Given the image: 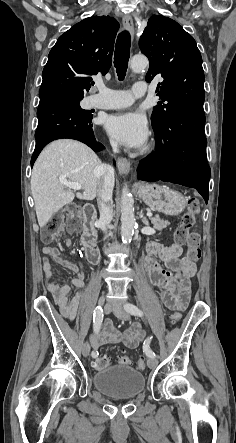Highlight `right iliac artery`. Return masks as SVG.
Segmentation results:
<instances>
[{
    "label": "right iliac artery",
    "instance_id": "82829eb1",
    "mask_svg": "<svg viewBox=\"0 0 236 443\" xmlns=\"http://www.w3.org/2000/svg\"><path fill=\"white\" fill-rule=\"evenodd\" d=\"M103 317H104V314H103L102 307L97 306L96 309L94 310V315H93V329H94V332H98L100 330V327H101V324H102V321H103ZM98 354H99L98 352L93 351L91 355H92L93 358H95V357L98 356Z\"/></svg>",
    "mask_w": 236,
    "mask_h": 443
}]
</instances>
